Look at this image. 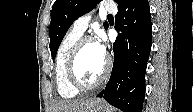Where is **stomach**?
Listing matches in <instances>:
<instances>
[{
    "label": "stomach",
    "mask_w": 193,
    "mask_h": 112,
    "mask_svg": "<svg viewBox=\"0 0 193 112\" xmlns=\"http://www.w3.org/2000/svg\"><path fill=\"white\" fill-rule=\"evenodd\" d=\"M90 112H109V111L100 100H96Z\"/></svg>",
    "instance_id": "obj_1"
}]
</instances>
